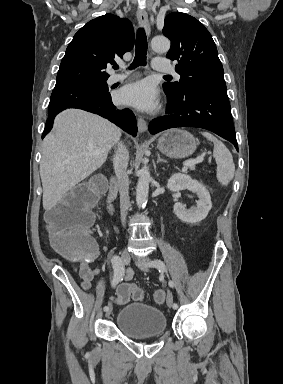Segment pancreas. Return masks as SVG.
I'll use <instances>...</instances> for the list:
<instances>
[{
	"label": "pancreas",
	"instance_id": "obj_1",
	"mask_svg": "<svg viewBox=\"0 0 283 384\" xmlns=\"http://www.w3.org/2000/svg\"><path fill=\"white\" fill-rule=\"evenodd\" d=\"M189 170H195V166H190Z\"/></svg>",
	"mask_w": 283,
	"mask_h": 384
}]
</instances>
